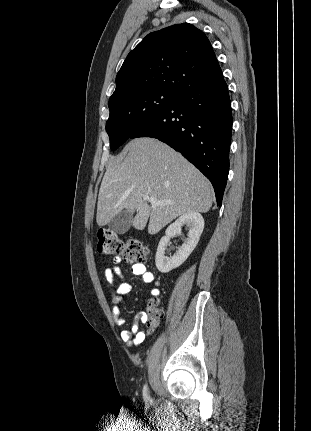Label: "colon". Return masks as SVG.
Instances as JSON below:
<instances>
[{
  "label": "colon",
  "instance_id": "colon-1",
  "mask_svg": "<svg viewBox=\"0 0 311 431\" xmlns=\"http://www.w3.org/2000/svg\"><path fill=\"white\" fill-rule=\"evenodd\" d=\"M97 250L101 254L119 255L128 262L145 263L149 249L136 239L122 240L114 231L100 229L97 233ZM163 317L161 303L157 299L151 300L145 311V329L151 333Z\"/></svg>",
  "mask_w": 311,
  "mask_h": 431
}]
</instances>
